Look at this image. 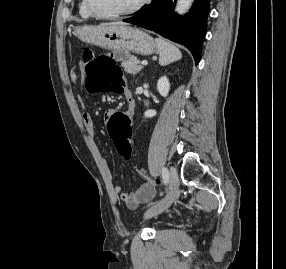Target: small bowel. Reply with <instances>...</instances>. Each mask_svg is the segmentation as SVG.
<instances>
[{"mask_svg": "<svg viewBox=\"0 0 286 269\" xmlns=\"http://www.w3.org/2000/svg\"><path fill=\"white\" fill-rule=\"evenodd\" d=\"M70 77L73 82H77L79 76L78 73L72 71ZM120 92L124 94V97L126 99L125 111H130L132 113L135 103L131 91L127 88L122 87ZM114 112V108H109L108 111H101L102 122L106 123L107 121H109L110 116H112V113ZM81 119L85 128L88 131H93V119L90 113L87 111H83L81 114ZM140 174L141 176L145 177L144 172H140ZM108 176L111 177V173H108ZM113 192L116 196H118L126 203L129 209H137L142 203L151 200L155 195V189L149 184H145L140 191L131 194L125 193L123 191L122 186L116 185L113 187Z\"/></svg>", "mask_w": 286, "mask_h": 269, "instance_id": "c3829d8e", "label": "small bowel"}]
</instances>
